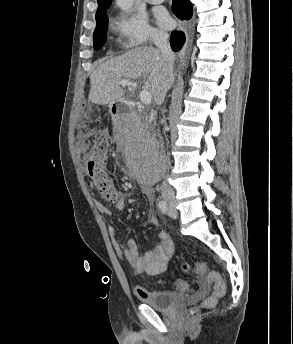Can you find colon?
<instances>
[{"label":"colon","mask_w":293,"mask_h":344,"mask_svg":"<svg viewBox=\"0 0 293 344\" xmlns=\"http://www.w3.org/2000/svg\"><path fill=\"white\" fill-rule=\"evenodd\" d=\"M109 148L110 143L107 138H101L98 140L88 154L86 167L89 178L97 187L101 196L110 202H117L119 199V193L113 179L107 172ZM184 269L190 270L194 275L206 278L214 284L212 293L203 300L200 306L205 309L214 307L218 299L221 298L227 290L226 284L220 275L215 272H207L205 263H196L193 267L186 265ZM177 286L182 287L183 282L178 281ZM197 311L198 308L190 309V315H195Z\"/></svg>","instance_id":"1"}]
</instances>
